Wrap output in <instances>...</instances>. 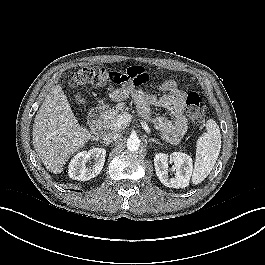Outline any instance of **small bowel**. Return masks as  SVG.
<instances>
[{"instance_id":"c3829d8e","label":"small bowel","mask_w":265,"mask_h":265,"mask_svg":"<svg viewBox=\"0 0 265 265\" xmlns=\"http://www.w3.org/2000/svg\"><path fill=\"white\" fill-rule=\"evenodd\" d=\"M138 70L142 77L148 81V75L143 68L134 67ZM145 82V83H146ZM132 82H127L111 93L114 101H122L129 97H133L138 111L141 116L147 118L151 107H159L170 112L172 118L163 116L156 117L153 120L154 127L161 133L162 137L171 143L178 142L186 132L187 120L183 115L184 108V92L179 89L174 80L165 81L159 86L162 94L143 91Z\"/></svg>"}]
</instances>
